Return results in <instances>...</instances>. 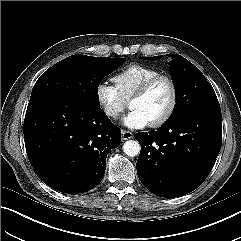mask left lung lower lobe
<instances>
[{
    "label": "left lung lower lobe",
    "mask_w": 241,
    "mask_h": 241,
    "mask_svg": "<svg viewBox=\"0 0 241 241\" xmlns=\"http://www.w3.org/2000/svg\"><path fill=\"white\" fill-rule=\"evenodd\" d=\"M135 138L141 145L137 174L142 184L157 196L179 197L199 187L216 161L221 112H188Z\"/></svg>",
    "instance_id": "obj_1"
}]
</instances>
